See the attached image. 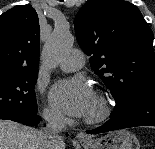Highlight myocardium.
<instances>
[{
	"mask_svg": "<svg viewBox=\"0 0 155 149\" xmlns=\"http://www.w3.org/2000/svg\"><path fill=\"white\" fill-rule=\"evenodd\" d=\"M96 102H97V111L89 116L85 117V122L89 124L99 123L106 119L110 114V105L106 98L103 95L97 94L96 95Z\"/></svg>",
	"mask_w": 155,
	"mask_h": 149,
	"instance_id": "1",
	"label": "myocardium"
}]
</instances>
